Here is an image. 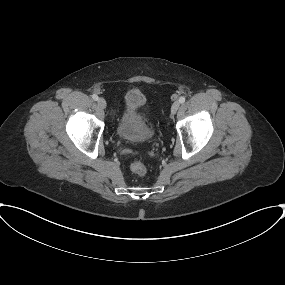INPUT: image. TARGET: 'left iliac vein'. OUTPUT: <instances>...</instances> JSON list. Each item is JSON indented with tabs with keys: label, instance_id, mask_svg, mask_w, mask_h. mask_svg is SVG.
Wrapping results in <instances>:
<instances>
[{
	"label": "left iliac vein",
	"instance_id": "obj_1",
	"mask_svg": "<svg viewBox=\"0 0 285 285\" xmlns=\"http://www.w3.org/2000/svg\"><path fill=\"white\" fill-rule=\"evenodd\" d=\"M179 106H180V104H179L178 101L174 102V103L172 104V106H171V113H172V114H176V112H177L178 109H179Z\"/></svg>",
	"mask_w": 285,
	"mask_h": 285
}]
</instances>
